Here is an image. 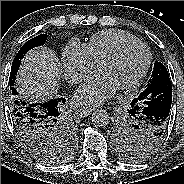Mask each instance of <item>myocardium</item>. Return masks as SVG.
Here are the masks:
<instances>
[{
	"mask_svg": "<svg viewBox=\"0 0 184 184\" xmlns=\"http://www.w3.org/2000/svg\"><path fill=\"white\" fill-rule=\"evenodd\" d=\"M132 46L142 47L146 51L147 57H146L145 64H144L141 72L139 73V75L133 81H131L129 84L119 88V90L123 91V92L137 89L140 86V84L143 82V80L145 79V77L150 69L151 63H152V53H151L149 46L146 43H144L138 39L127 41V42L119 45L114 51H112L109 55H107L98 64V70L100 71L103 66L115 61L126 49H128L129 47H132Z\"/></svg>",
	"mask_w": 184,
	"mask_h": 184,
	"instance_id": "obj_1",
	"label": "myocardium"
}]
</instances>
